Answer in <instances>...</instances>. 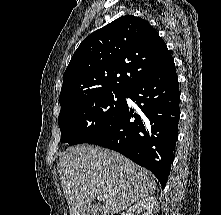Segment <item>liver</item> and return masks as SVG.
<instances>
[{
    "label": "liver",
    "mask_w": 221,
    "mask_h": 215,
    "mask_svg": "<svg viewBox=\"0 0 221 215\" xmlns=\"http://www.w3.org/2000/svg\"><path fill=\"white\" fill-rule=\"evenodd\" d=\"M59 173L70 215H85L98 196H103L106 212L113 215L156 189L151 172L117 152L92 145L63 152Z\"/></svg>",
    "instance_id": "6515ba94"
}]
</instances>
